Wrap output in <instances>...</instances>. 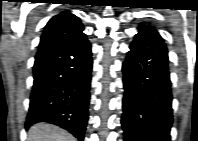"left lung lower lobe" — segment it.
Returning a JSON list of instances; mask_svg holds the SVG:
<instances>
[{
	"label": "left lung lower lobe",
	"mask_w": 198,
	"mask_h": 141,
	"mask_svg": "<svg viewBox=\"0 0 198 141\" xmlns=\"http://www.w3.org/2000/svg\"><path fill=\"white\" fill-rule=\"evenodd\" d=\"M123 63L124 141H170L173 123L168 51L162 38L136 35ZM149 109H142V101Z\"/></svg>",
	"instance_id": "1"
}]
</instances>
